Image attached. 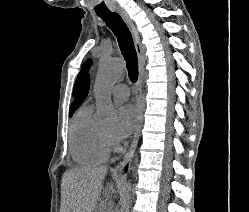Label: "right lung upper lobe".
I'll return each instance as SVG.
<instances>
[{
	"instance_id": "cb5924a9",
	"label": "right lung upper lobe",
	"mask_w": 249,
	"mask_h": 212,
	"mask_svg": "<svg viewBox=\"0 0 249 212\" xmlns=\"http://www.w3.org/2000/svg\"><path fill=\"white\" fill-rule=\"evenodd\" d=\"M89 92V77L87 78L84 87L79 94V96L75 99V101L72 103V106L70 108V112H75V110L80 106V104L85 100Z\"/></svg>"
}]
</instances>
